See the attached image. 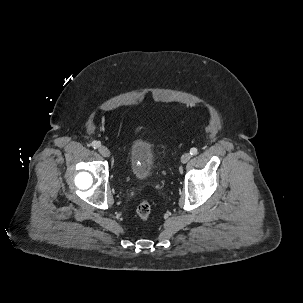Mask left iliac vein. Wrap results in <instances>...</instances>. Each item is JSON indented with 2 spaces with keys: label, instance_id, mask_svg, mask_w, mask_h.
Listing matches in <instances>:
<instances>
[{
  "label": "left iliac vein",
  "instance_id": "4c4485c4",
  "mask_svg": "<svg viewBox=\"0 0 303 303\" xmlns=\"http://www.w3.org/2000/svg\"><path fill=\"white\" fill-rule=\"evenodd\" d=\"M191 159V154L190 153H184L182 156H181V162L183 164L187 163L189 160Z\"/></svg>",
  "mask_w": 303,
  "mask_h": 303
}]
</instances>
